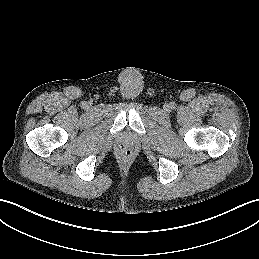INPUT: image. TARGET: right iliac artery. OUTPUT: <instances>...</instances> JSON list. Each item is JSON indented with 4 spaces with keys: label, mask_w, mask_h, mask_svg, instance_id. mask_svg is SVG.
<instances>
[{
    "label": "right iliac artery",
    "mask_w": 259,
    "mask_h": 259,
    "mask_svg": "<svg viewBox=\"0 0 259 259\" xmlns=\"http://www.w3.org/2000/svg\"><path fill=\"white\" fill-rule=\"evenodd\" d=\"M82 105L85 106V105H86V102H82Z\"/></svg>",
    "instance_id": "obj_1"
}]
</instances>
